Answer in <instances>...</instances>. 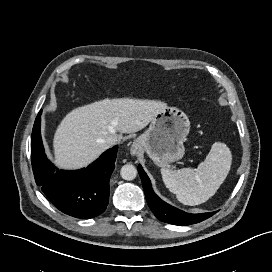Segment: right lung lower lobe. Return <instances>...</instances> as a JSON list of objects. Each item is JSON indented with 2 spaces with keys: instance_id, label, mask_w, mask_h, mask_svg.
Wrapping results in <instances>:
<instances>
[{
  "instance_id": "98d812e1",
  "label": "right lung lower lobe",
  "mask_w": 272,
  "mask_h": 272,
  "mask_svg": "<svg viewBox=\"0 0 272 272\" xmlns=\"http://www.w3.org/2000/svg\"><path fill=\"white\" fill-rule=\"evenodd\" d=\"M39 111L31 136V161L36 184L53 205L76 218H93L105 211L109 201V180L118 146L104 152L87 168L65 171L47 159L40 133Z\"/></svg>"
}]
</instances>
